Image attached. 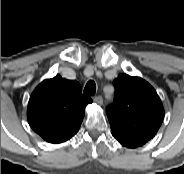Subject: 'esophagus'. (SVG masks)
Listing matches in <instances>:
<instances>
[{
    "label": "esophagus",
    "mask_w": 184,
    "mask_h": 174,
    "mask_svg": "<svg viewBox=\"0 0 184 174\" xmlns=\"http://www.w3.org/2000/svg\"><path fill=\"white\" fill-rule=\"evenodd\" d=\"M93 101L99 105H101L103 103V97L102 96H95L93 98Z\"/></svg>",
    "instance_id": "esophagus-1"
}]
</instances>
